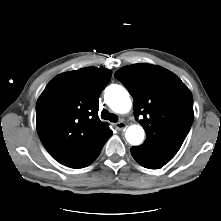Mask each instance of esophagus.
<instances>
[{
    "instance_id": "esophagus-1",
    "label": "esophagus",
    "mask_w": 221,
    "mask_h": 221,
    "mask_svg": "<svg viewBox=\"0 0 221 221\" xmlns=\"http://www.w3.org/2000/svg\"><path fill=\"white\" fill-rule=\"evenodd\" d=\"M114 127H115L116 130L120 131V130H123V129L126 128V123H124L122 121L117 122V123L114 124Z\"/></svg>"
}]
</instances>
